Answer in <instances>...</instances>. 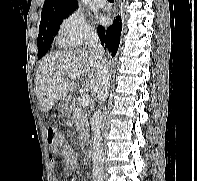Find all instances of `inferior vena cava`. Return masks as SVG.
Returning a JSON list of instances; mask_svg holds the SVG:
<instances>
[{"label": "inferior vena cava", "instance_id": "1", "mask_svg": "<svg viewBox=\"0 0 197 181\" xmlns=\"http://www.w3.org/2000/svg\"><path fill=\"white\" fill-rule=\"evenodd\" d=\"M89 52L92 59L96 63V67L99 72V89L98 99L102 104L109 94L110 81H111V70L110 65L104 59V49L101 45L99 36L96 33H92L88 40ZM92 131H93V181H104V153L102 146L101 137V125L102 115L101 110L96 111L91 120Z\"/></svg>", "mask_w": 197, "mask_h": 181}]
</instances>
